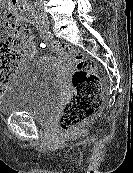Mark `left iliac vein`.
<instances>
[{"instance_id":"1","label":"left iliac vein","mask_w":133,"mask_h":173,"mask_svg":"<svg viewBox=\"0 0 133 173\" xmlns=\"http://www.w3.org/2000/svg\"><path fill=\"white\" fill-rule=\"evenodd\" d=\"M44 18L46 20V27H48V25H49L48 19L46 17H44Z\"/></svg>"}]
</instances>
